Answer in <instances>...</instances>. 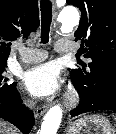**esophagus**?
I'll use <instances>...</instances> for the list:
<instances>
[{
    "mask_svg": "<svg viewBox=\"0 0 116 134\" xmlns=\"http://www.w3.org/2000/svg\"><path fill=\"white\" fill-rule=\"evenodd\" d=\"M52 3H53V9L55 11V1L52 0ZM48 108H49L48 104H44L42 106L37 107L36 116H38V117L42 116L48 110Z\"/></svg>",
    "mask_w": 116,
    "mask_h": 134,
    "instance_id": "34e87169",
    "label": "esophagus"
}]
</instances>
